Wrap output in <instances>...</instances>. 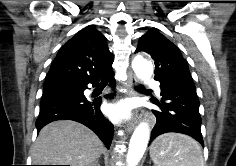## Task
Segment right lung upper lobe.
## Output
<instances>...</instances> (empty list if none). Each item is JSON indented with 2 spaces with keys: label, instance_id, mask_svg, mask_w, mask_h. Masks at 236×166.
Returning a JSON list of instances; mask_svg holds the SVG:
<instances>
[{
  "label": "right lung upper lobe",
  "instance_id": "obj_1",
  "mask_svg": "<svg viewBox=\"0 0 236 166\" xmlns=\"http://www.w3.org/2000/svg\"><path fill=\"white\" fill-rule=\"evenodd\" d=\"M106 38L94 25L79 31L58 51L45 82L57 79L90 80L112 67Z\"/></svg>",
  "mask_w": 236,
  "mask_h": 166
}]
</instances>
